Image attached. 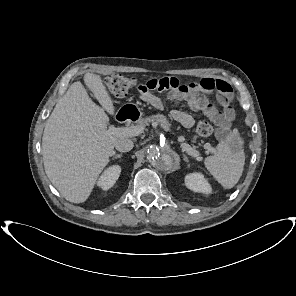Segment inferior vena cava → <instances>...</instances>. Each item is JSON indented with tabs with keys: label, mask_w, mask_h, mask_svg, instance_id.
Instances as JSON below:
<instances>
[{
	"label": "inferior vena cava",
	"mask_w": 296,
	"mask_h": 296,
	"mask_svg": "<svg viewBox=\"0 0 296 296\" xmlns=\"http://www.w3.org/2000/svg\"><path fill=\"white\" fill-rule=\"evenodd\" d=\"M133 146V141L127 138L118 139L115 143L116 150L120 152H128L133 148Z\"/></svg>",
	"instance_id": "1"
}]
</instances>
